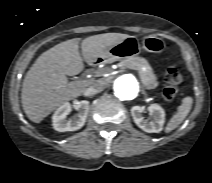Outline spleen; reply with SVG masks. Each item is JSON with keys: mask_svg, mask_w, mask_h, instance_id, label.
<instances>
[{"mask_svg": "<svg viewBox=\"0 0 212 183\" xmlns=\"http://www.w3.org/2000/svg\"><path fill=\"white\" fill-rule=\"evenodd\" d=\"M193 99L190 96L183 98L182 104L178 107L177 113L171 118L165 127V132L169 133L179 126L186 118L192 108Z\"/></svg>", "mask_w": 212, "mask_h": 183, "instance_id": "obj_1", "label": "spleen"}]
</instances>
